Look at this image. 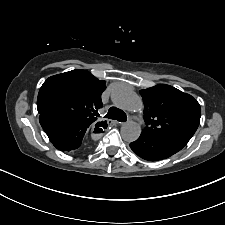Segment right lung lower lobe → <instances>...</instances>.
I'll return each mask as SVG.
<instances>
[{
	"label": "right lung lower lobe",
	"instance_id": "98d812e1",
	"mask_svg": "<svg viewBox=\"0 0 225 225\" xmlns=\"http://www.w3.org/2000/svg\"><path fill=\"white\" fill-rule=\"evenodd\" d=\"M39 122L55 148L70 153L86 150L84 136L94 128L80 119L53 113H41Z\"/></svg>",
	"mask_w": 225,
	"mask_h": 225
}]
</instances>
